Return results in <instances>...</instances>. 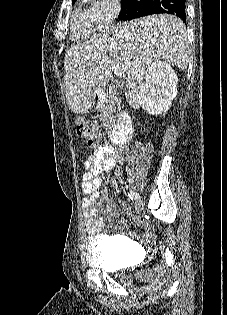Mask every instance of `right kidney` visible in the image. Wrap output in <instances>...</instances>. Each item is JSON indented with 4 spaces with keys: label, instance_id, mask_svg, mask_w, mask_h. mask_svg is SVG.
I'll use <instances>...</instances> for the list:
<instances>
[{
    "label": "right kidney",
    "instance_id": "1",
    "mask_svg": "<svg viewBox=\"0 0 227 315\" xmlns=\"http://www.w3.org/2000/svg\"><path fill=\"white\" fill-rule=\"evenodd\" d=\"M146 82L140 87L141 107L152 115L168 111L177 95L178 78L166 61H155L145 74Z\"/></svg>",
    "mask_w": 227,
    "mask_h": 315
}]
</instances>
